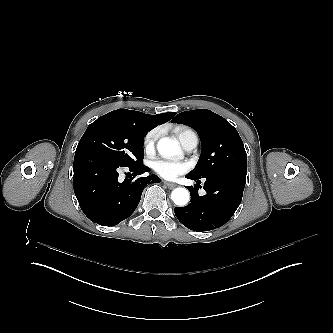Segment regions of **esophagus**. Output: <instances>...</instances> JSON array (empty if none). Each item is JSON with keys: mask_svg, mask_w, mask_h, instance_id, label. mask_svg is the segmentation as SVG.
Returning a JSON list of instances; mask_svg holds the SVG:
<instances>
[{"mask_svg": "<svg viewBox=\"0 0 333 333\" xmlns=\"http://www.w3.org/2000/svg\"><path fill=\"white\" fill-rule=\"evenodd\" d=\"M166 185H167V187L170 189V190H172V189H174L177 185L175 184V183H171V182H164Z\"/></svg>", "mask_w": 333, "mask_h": 333, "instance_id": "34e87169", "label": "esophagus"}]
</instances>
